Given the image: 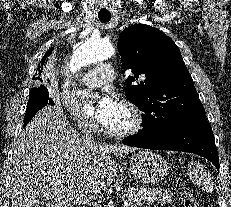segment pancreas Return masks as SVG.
I'll return each instance as SVG.
<instances>
[{"mask_svg": "<svg viewBox=\"0 0 231 207\" xmlns=\"http://www.w3.org/2000/svg\"><path fill=\"white\" fill-rule=\"evenodd\" d=\"M173 195L172 191L161 188L128 187L125 189L124 197L131 203V207H136L144 203L147 205H152L155 202L161 205L169 204L172 201Z\"/></svg>", "mask_w": 231, "mask_h": 207, "instance_id": "cf45deb5", "label": "pancreas"}]
</instances>
